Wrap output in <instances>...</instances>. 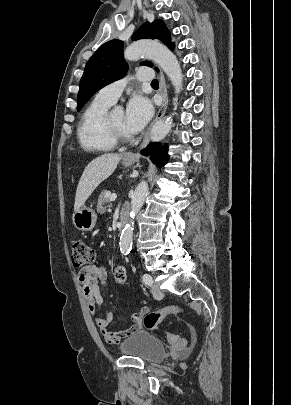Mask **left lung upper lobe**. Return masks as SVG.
<instances>
[{"label":"left lung upper lobe","mask_w":291,"mask_h":405,"mask_svg":"<svg viewBox=\"0 0 291 405\" xmlns=\"http://www.w3.org/2000/svg\"><path fill=\"white\" fill-rule=\"evenodd\" d=\"M139 39H159L169 48L173 46L170 32L160 19L144 23L132 36V40ZM123 44L121 40L108 41L89 59L80 80L77 111L96 91L126 74L128 67L123 59ZM144 65L151 67L152 63L146 61Z\"/></svg>","instance_id":"left-lung-upper-lobe-1"}]
</instances>
